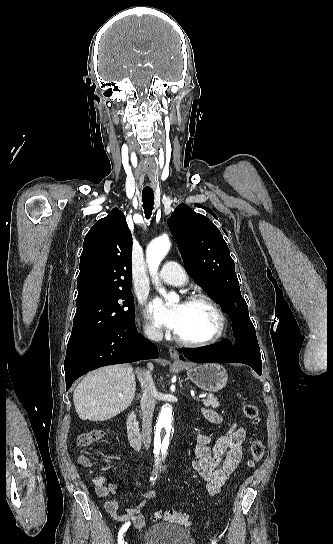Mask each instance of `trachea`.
<instances>
[{"mask_svg":"<svg viewBox=\"0 0 333 544\" xmlns=\"http://www.w3.org/2000/svg\"><path fill=\"white\" fill-rule=\"evenodd\" d=\"M142 201L144 214L147 219L152 215L153 205H154V194L153 190H143L142 191Z\"/></svg>","mask_w":333,"mask_h":544,"instance_id":"obj_1","label":"trachea"}]
</instances>
